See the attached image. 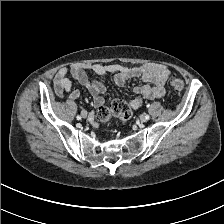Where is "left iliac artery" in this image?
<instances>
[{
    "instance_id": "obj_1",
    "label": "left iliac artery",
    "mask_w": 224,
    "mask_h": 224,
    "mask_svg": "<svg viewBox=\"0 0 224 224\" xmlns=\"http://www.w3.org/2000/svg\"><path fill=\"white\" fill-rule=\"evenodd\" d=\"M147 107H149V105H147ZM146 119L149 120L150 119V116L149 115H146Z\"/></svg>"
}]
</instances>
